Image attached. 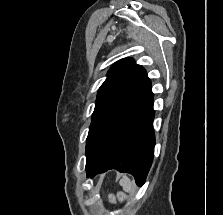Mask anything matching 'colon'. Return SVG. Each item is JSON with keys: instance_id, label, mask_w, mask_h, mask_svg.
I'll list each match as a JSON object with an SVG mask.
<instances>
[{"instance_id": "1", "label": "colon", "mask_w": 223, "mask_h": 215, "mask_svg": "<svg viewBox=\"0 0 223 215\" xmlns=\"http://www.w3.org/2000/svg\"><path fill=\"white\" fill-rule=\"evenodd\" d=\"M117 197H118V199L121 200V201H124V200L126 199L125 194L122 193V192H119V193L117 194Z\"/></svg>"}]
</instances>
